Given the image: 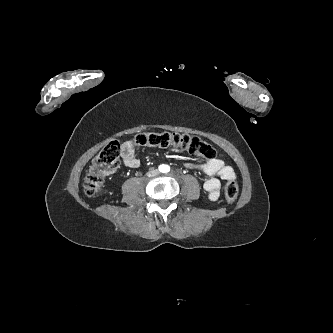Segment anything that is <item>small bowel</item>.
<instances>
[{"instance_id": "1", "label": "small bowel", "mask_w": 333, "mask_h": 333, "mask_svg": "<svg viewBox=\"0 0 333 333\" xmlns=\"http://www.w3.org/2000/svg\"><path fill=\"white\" fill-rule=\"evenodd\" d=\"M121 158L125 166L138 168L140 160L137 158L131 141H124L121 145ZM185 166L190 169H197L208 175L204 182V190L209 201L216 202L220 196V179H235V172L232 167L226 165L223 160L213 158L205 162H186Z\"/></svg>"}]
</instances>
